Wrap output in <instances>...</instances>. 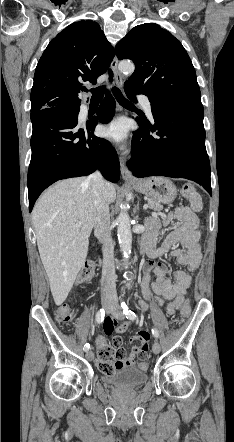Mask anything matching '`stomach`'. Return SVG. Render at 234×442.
Listing matches in <instances>:
<instances>
[{
    "label": "stomach",
    "mask_w": 234,
    "mask_h": 442,
    "mask_svg": "<svg viewBox=\"0 0 234 442\" xmlns=\"http://www.w3.org/2000/svg\"><path fill=\"white\" fill-rule=\"evenodd\" d=\"M133 187L136 191L164 204L172 203L177 196V188L174 183L163 177L142 179L133 184Z\"/></svg>",
    "instance_id": "obj_1"
}]
</instances>
